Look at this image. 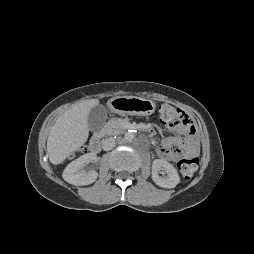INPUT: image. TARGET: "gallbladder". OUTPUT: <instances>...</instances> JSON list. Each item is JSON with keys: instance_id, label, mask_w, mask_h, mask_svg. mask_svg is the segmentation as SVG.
<instances>
[{"instance_id": "gallbladder-1", "label": "gallbladder", "mask_w": 254, "mask_h": 254, "mask_svg": "<svg viewBox=\"0 0 254 254\" xmlns=\"http://www.w3.org/2000/svg\"><path fill=\"white\" fill-rule=\"evenodd\" d=\"M107 111L103 105L93 107L88 115L87 124L91 131H98L105 124Z\"/></svg>"}]
</instances>
